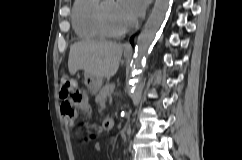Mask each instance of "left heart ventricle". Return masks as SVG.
I'll return each mask as SVG.
<instances>
[{
  "label": "left heart ventricle",
  "mask_w": 242,
  "mask_h": 160,
  "mask_svg": "<svg viewBox=\"0 0 242 160\" xmlns=\"http://www.w3.org/2000/svg\"><path fill=\"white\" fill-rule=\"evenodd\" d=\"M103 11L109 29L119 31L128 26L117 0H105Z\"/></svg>",
  "instance_id": "obj_1"
}]
</instances>
